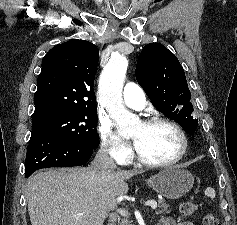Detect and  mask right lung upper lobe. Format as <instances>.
Wrapping results in <instances>:
<instances>
[{
  "instance_id": "obj_1",
  "label": "right lung upper lobe",
  "mask_w": 237,
  "mask_h": 225,
  "mask_svg": "<svg viewBox=\"0 0 237 225\" xmlns=\"http://www.w3.org/2000/svg\"><path fill=\"white\" fill-rule=\"evenodd\" d=\"M98 60V48L85 40L52 48L42 60L33 121L96 109L93 83Z\"/></svg>"
}]
</instances>
